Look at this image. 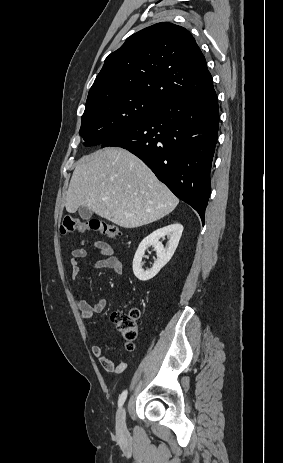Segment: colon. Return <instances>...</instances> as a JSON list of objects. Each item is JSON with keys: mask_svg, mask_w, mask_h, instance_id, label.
<instances>
[{"mask_svg": "<svg viewBox=\"0 0 283 463\" xmlns=\"http://www.w3.org/2000/svg\"><path fill=\"white\" fill-rule=\"evenodd\" d=\"M61 231L64 234L74 231H94L111 239L117 238L120 235L118 227L111 223L98 218L82 219L70 215H66L63 218ZM139 317L140 311L137 308H131L126 312L117 311L112 314V320L116 324L126 348L129 350L132 349L133 342L138 336Z\"/></svg>", "mask_w": 283, "mask_h": 463, "instance_id": "obj_1", "label": "colon"}]
</instances>
